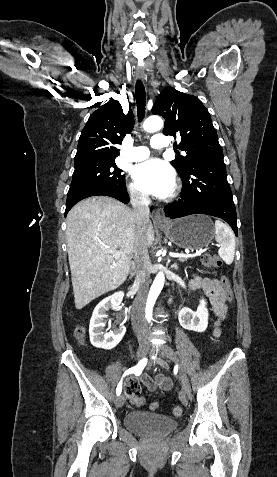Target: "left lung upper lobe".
Instances as JSON below:
<instances>
[{
    "label": "left lung upper lobe",
    "mask_w": 277,
    "mask_h": 477,
    "mask_svg": "<svg viewBox=\"0 0 277 477\" xmlns=\"http://www.w3.org/2000/svg\"><path fill=\"white\" fill-rule=\"evenodd\" d=\"M152 113L164 117L165 135L181 136L179 148L187 155L171 162L180 175L188 173L200 157L222 154L210 114L197 97L167 87L157 97Z\"/></svg>",
    "instance_id": "left-lung-upper-lobe-1"
}]
</instances>
